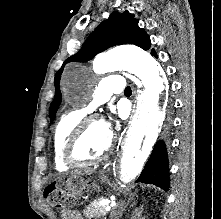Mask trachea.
<instances>
[{"instance_id": "3493384b", "label": "trachea", "mask_w": 221, "mask_h": 219, "mask_svg": "<svg viewBox=\"0 0 221 219\" xmlns=\"http://www.w3.org/2000/svg\"><path fill=\"white\" fill-rule=\"evenodd\" d=\"M124 93L125 94H131L132 93L131 88L129 86L126 87L125 90H124Z\"/></svg>"}]
</instances>
